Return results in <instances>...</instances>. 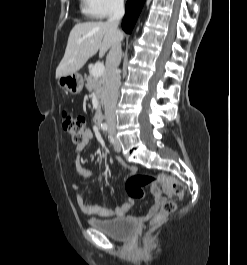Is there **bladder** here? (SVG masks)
<instances>
[{"label": "bladder", "mask_w": 247, "mask_h": 265, "mask_svg": "<svg viewBox=\"0 0 247 265\" xmlns=\"http://www.w3.org/2000/svg\"><path fill=\"white\" fill-rule=\"evenodd\" d=\"M88 224L115 240H126L135 230L134 222L127 218L89 219Z\"/></svg>", "instance_id": "31cf9c89"}]
</instances>
